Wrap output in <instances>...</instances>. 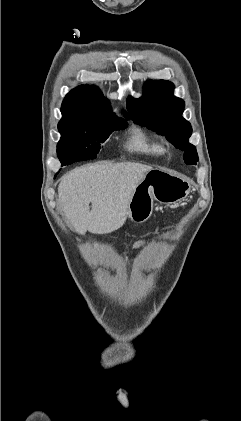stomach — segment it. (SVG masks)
Returning a JSON list of instances; mask_svg holds the SVG:
<instances>
[{
    "mask_svg": "<svg viewBox=\"0 0 241 421\" xmlns=\"http://www.w3.org/2000/svg\"><path fill=\"white\" fill-rule=\"evenodd\" d=\"M190 191L191 183L187 178L163 168H154L145 174L135 188L125 217L143 223L152 215L154 200L166 205L177 204Z\"/></svg>",
    "mask_w": 241,
    "mask_h": 421,
    "instance_id": "obj_1",
    "label": "stomach"
}]
</instances>
